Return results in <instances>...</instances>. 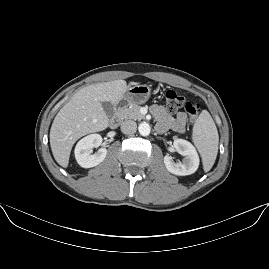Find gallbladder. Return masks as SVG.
I'll use <instances>...</instances> for the list:
<instances>
[{
	"mask_svg": "<svg viewBox=\"0 0 269 269\" xmlns=\"http://www.w3.org/2000/svg\"><path fill=\"white\" fill-rule=\"evenodd\" d=\"M102 107L108 117L113 116L114 106L110 102H102Z\"/></svg>",
	"mask_w": 269,
	"mask_h": 269,
	"instance_id": "bac80fb5",
	"label": "gallbladder"
}]
</instances>
